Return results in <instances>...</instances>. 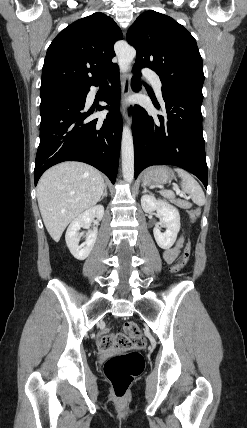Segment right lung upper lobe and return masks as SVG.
I'll return each instance as SVG.
<instances>
[{
	"mask_svg": "<svg viewBox=\"0 0 247 428\" xmlns=\"http://www.w3.org/2000/svg\"><path fill=\"white\" fill-rule=\"evenodd\" d=\"M123 38L112 18L97 12L62 30L50 44L42 69L41 94L87 89L117 67L114 43Z\"/></svg>",
	"mask_w": 247,
	"mask_h": 428,
	"instance_id": "right-lung-upper-lobe-1",
	"label": "right lung upper lobe"
}]
</instances>
